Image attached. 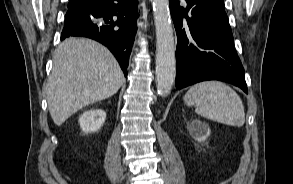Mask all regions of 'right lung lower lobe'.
Returning a JSON list of instances; mask_svg holds the SVG:
<instances>
[{"instance_id":"98d812e1","label":"right lung lower lobe","mask_w":293,"mask_h":184,"mask_svg":"<svg viewBox=\"0 0 293 184\" xmlns=\"http://www.w3.org/2000/svg\"><path fill=\"white\" fill-rule=\"evenodd\" d=\"M137 4V0H88L69 7L61 40L85 36L102 43L125 73L137 29Z\"/></svg>"}]
</instances>
